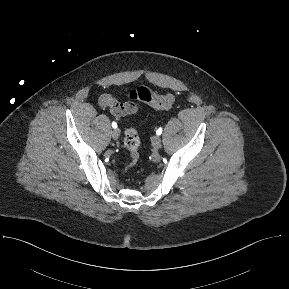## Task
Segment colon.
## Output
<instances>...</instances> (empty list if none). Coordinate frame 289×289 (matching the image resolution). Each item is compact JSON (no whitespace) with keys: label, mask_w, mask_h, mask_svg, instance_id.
<instances>
[{"label":"colon","mask_w":289,"mask_h":289,"mask_svg":"<svg viewBox=\"0 0 289 289\" xmlns=\"http://www.w3.org/2000/svg\"><path fill=\"white\" fill-rule=\"evenodd\" d=\"M130 99L133 101H141L156 109H167L174 103L172 94H156L146 87H138L130 92ZM123 146L131 155V162L127 165V169L134 166L138 160V149L140 139L137 130L129 127L125 130L123 136Z\"/></svg>","instance_id":"obj_1"}]
</instances>
